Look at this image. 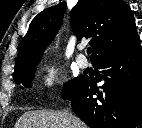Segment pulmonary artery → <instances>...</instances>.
<instances>
[{
  "label": "pulmonary artery",
  "instance_id": "e3ab8cb5",
  "mask_svg": "<svg viewBox=\"0 0 142 128\" xmlns=\"http://www.w3.org/2000/svg\"><path fill=\"white\" fill-rule=\"evenodd\" d=\"M76 63H77V65H78L80 68H82V69H85V68L88 67V60H87V58H86L83 54H81V53H79V54L77 55V57H76Z\"/></svg>",
  "mask_w": 142,
  "mask_h": 128
}]
</instances>
